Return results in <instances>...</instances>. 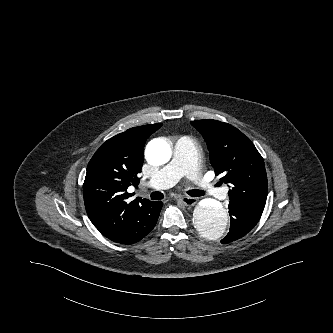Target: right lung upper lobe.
I'll list each match as a JSON object with an SVG mask.
<instances>
[{
	"label": "right lung upper lobe",
	"mask_w": 333,
	"mask_h": 333,
	"mask_svg": "<svg viewBox=\"0 0 333 333\" xmlns=\"http://www.w3.org/2000/svg\"><path fill=\"white\" fill-rule=\"evenodd\" d=\"M161 126L130 128L103 143L91 158L83 184L84 203L89 219L101 234L111 233L132 209L147 200L137 197L129 202L132 194L127 188L139 183L144 144Z\"/></svg>",
	"instance_id": "cb5924a9"
}]
</instances>
